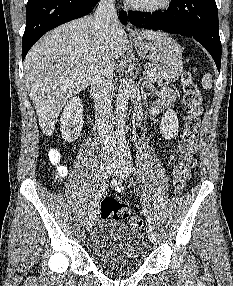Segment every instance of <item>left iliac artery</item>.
<instances>
[{
    "label": "left iliac artery",
    "instance_id": "left-iliac-artery-1",
    "mask_svg": "<svg viewBox=\"0 0 233 286\" xmlns=\"http://www.w3.org/2000/svg\"><path fill=\"white\" fill-rule=\"evenodd\" d=\"M123 156H124V162L127 166V169L130 170V172H134V166H133V159L131 157L130 151L128 149V147L124 146L123 147ZM143 212L147 217V221L149 222V224L154 226V219L151 216V214H149V211L146 209V207H143Z\"/></svg>",
    "mask_w": 233,
    "mask_h": 286
}]
</instances>
